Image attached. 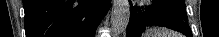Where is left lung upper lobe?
<instances>
[{
	"label": "left lung upper lobe",
	"mask_w": 219,
	"mask_h": 37,
	"mask_svg": "<svg viewBox=\"0 0 219 37\" xmlns=\"http://www.w3.org/2000/svg\"><path fill=\"white\" fill-rule=\"evenodd\" d=\"M154 1L161 5L171 7L176 12H178L186 21H188L184 0H154Z\"/></svg>",
	"instance_id": "obj_1"
}]
</instances>
